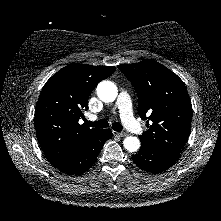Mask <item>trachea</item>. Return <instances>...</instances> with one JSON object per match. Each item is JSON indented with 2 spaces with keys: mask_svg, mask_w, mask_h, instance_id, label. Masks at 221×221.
<instances>
[{
  "mask_svg": "<svg viewBox=\"0 0 221 221\" xmlns=\"http://www.w3.org/2000/svg\"><path fill=\"white\" fill-rule=\"evenodd\" d=\"M86 124L88 126H91V127H96V128H106L109 126V123L107 120L105 119H102V120H99V121H96V122H90V121H86ZM112 129L115 130V131H122L123 130V127L120 123H113L112 124Z\"/></svg>",
  "mask_w": 221,
  "mask_h": 221,
  "instance_id": "1",
  "label": "trachea"
}]
</instances>
